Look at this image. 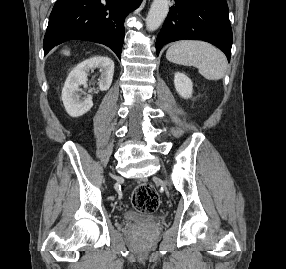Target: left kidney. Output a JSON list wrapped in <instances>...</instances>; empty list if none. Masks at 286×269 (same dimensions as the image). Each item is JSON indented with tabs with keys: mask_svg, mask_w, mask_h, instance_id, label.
Masks as SVG:
<instances>
[{
	"mask_svg": "<svg viewBox=\"0 0 286 269\" xmlns=\"http://www.w3.org/2000/svg\"><path fill=\"white\" fill-rule=\"evenodd\" d=\"M174 85L178 94L184 99H188L192 96L193 84L185 74L176 72L174 75Z\"/></svg>",
	"mask_w": 286,
	"mask_h": 269,
	"instance_id": "1",
	"label": "left kidney"
}]
</instances>
